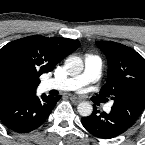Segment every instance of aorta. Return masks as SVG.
Returning a JSON list of instances; mask_svg holds the SVG:
<instances>
[{"mask_svg": "<svg viewBox=\"0 0 145 145\" xmlns=\"http://www.w3.org/2000/svg\"><path fill=\"white\" fill-rule=\"evenodd\" d=\"M65 66L68 69L69 73L72 75L80 74L84 68L82 59L77 56L69 57L66 60ZM77 110L81 116L87 117L91 115L93 107L89 102L84 101L78 104Z\"/></svg>", "mask_w": 145, "mask_h": 145, "instance_id": "aorta-1", "label": "aorta"}]
</instances>
